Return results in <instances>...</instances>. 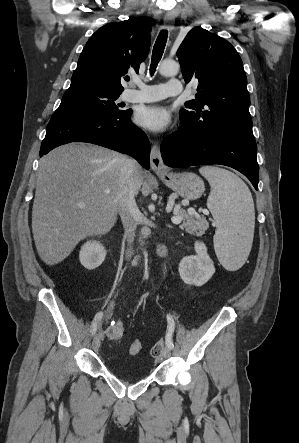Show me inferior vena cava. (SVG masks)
<instances>
[{
  "mask_svg": "<svg viewBox=\"0 0 299 443\" xmlns=\"http://www.w3.org/2000/svg\"><path fill=\"white\" fill-rule=\"evenodd\" d=\"M138 164L133 159H126L121 169L120 189L117 196L119 214L124 227V239L132 243L137 227L139 209L135 202L136 170Z\"/></svg>",
  "mask_w": 299,
  "mask_h": 443,
  "instance_id": "obj_1",
  "label": "inferior vena cava"
}]
</instances>
